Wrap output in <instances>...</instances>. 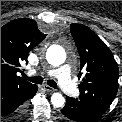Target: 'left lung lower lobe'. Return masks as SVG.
Returning <instances> with one entry per match:
<instances>
[{
	"mask_svg": "<svg viewBox=\"0 0 122 122\" xmlns=\"http://www.w3.org/2000/svg\"><path fill=\"white\" fill-rule=\"evenodd\" d=\"M66 99V104L61 109V113L68 122H92L106 111L96 104L78 98L66 97Z\"/></svg>",
	"mask_w": 122,
	"mask_h": 122,
	"instance_id": "1",
	"label": "left lung lower lobe"
}]
</instances>
